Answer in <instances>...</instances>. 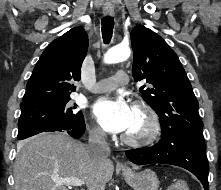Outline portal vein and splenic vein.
<instances>
[{
	"instance_id": "18ae733b",
	"label": "portal vein and splenic vein",
	"mask_w": 221,
	"mask_h": 190,
	"mask_svg": "<svg viewBox=\"0 0 221 190\" xmlns=\"http://www.w3.org/2000/svg\"><path fill=\"white\" fill-rule=\"evenodd\" d=\"M53 181L56 182L57 184H65L68 187H71V186H82L84 184V182L81 179L75 178V177H70V178H54Z\"/></svg>"
}]
</instances>
